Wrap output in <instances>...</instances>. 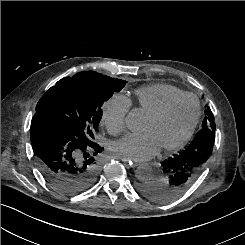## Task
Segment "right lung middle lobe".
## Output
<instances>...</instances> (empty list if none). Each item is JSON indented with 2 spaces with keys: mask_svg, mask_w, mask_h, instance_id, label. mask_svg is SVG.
Returning a JSON list of instances; mask_svg holds the SVG:
<instances>
[{
  "mask_svg": "<svg viewBox=\"0 0 245 245\" xmlns=\"http://www.w3.org/2000/svg\"><path fill=\"white\" fill-rule=\"evenodd\" d=\"M126 81L93 71L65 77L52 86L39 100L36 113L67 127L77 138L94 140L102 118V106Z\"/></svg>",
  "mask_w": 245,
  "mask_h": 245,
  "instance_id": "dd1d6c3e",
  "label": "right lung middle lobe"
}]
</instances>
